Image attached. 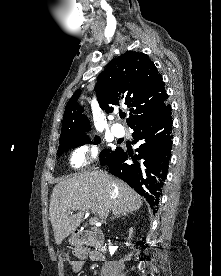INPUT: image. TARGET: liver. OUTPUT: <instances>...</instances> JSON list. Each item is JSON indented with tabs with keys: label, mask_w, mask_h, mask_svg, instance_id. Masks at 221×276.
Wrapping results in <instances>:
<instances>
[{
	"label": "liver",
	"mask_w": 221,
	"mask_h": 276,
	"mask_svg": "<svg viewBox=\"0 0 221 276\" xmlns=\"http://www.w3.org/2000/svg\"><path fill=\"white\" fill-rule=\"evenodd\" d=\"M141 197L126 183L104 171H86L59 182L50 200V220L57 245L74 233L86 209L105 219L140 209ZM71 210H78L72 214Z\"/></svg>",
	"instance_id": "6515ba94"
}]
</instances>
